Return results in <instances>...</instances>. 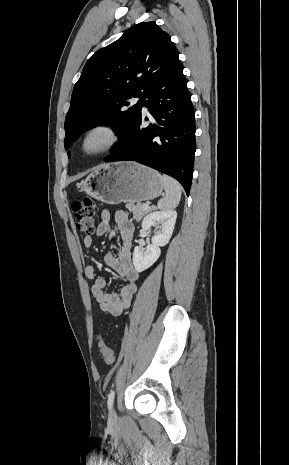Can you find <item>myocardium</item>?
Returning <instances> with one entry per match:
<instances>
[{
  "label": "myocardium",
  "instance_id": "1",
  "mask_svg": "<svg viewBox=\"0 0 289 465\" xmlns=\"http://www.w3.org/2000/svg\"><path fill=\"white\" fill-rule=\"evenodd\" d=\"M103 134L104 143L96 149L87 147L88 140L94 134ZM121 141V133L117 125L107 120H97L90 123L82 132L79 138V150L81 154L87 157H95L114 149Z\"/></svg>",
  "mask_w": 289,
  "mask_h": 465
}]
</instances>
